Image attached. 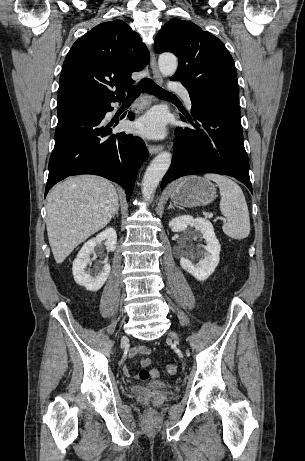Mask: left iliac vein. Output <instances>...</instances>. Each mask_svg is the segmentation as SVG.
Segmentation results:
<instances>
[{
    "label": "left iliac vein",
    "instance_id": "4c4485c4",
    "mask_svg": "<svg viewBox=\"0 0 305 461\" xmlns=\"http://www.w3.org/2000/svg\"><path fill=\"white\" fill-rule=\"evenodd\" d=\"M170 336L173 337L174 339L178 338V335L175 332H170Z\"/></svg>",
    "mask_w": 305,
    "mask_h": 461
}]
</instances>
